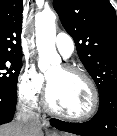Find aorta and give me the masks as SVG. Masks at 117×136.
<instances>
[{"label": "aorta", "instance_id": "762f6f07", "mask_svg": "<svg viewBox=\"0 0 117 136\" xmlns=\"http://www.w3.org/2000/svg\"><path fill=\"white\" fill-rule=\"evenodd\" d=\"M55 20L56 16L52 11L42 12L35 18L36 46L39 53L38 67L43 72L61 63V58L55 48Z\"/></svg>", "mask_w": 117, "mask_h": 136}]
</instances>
